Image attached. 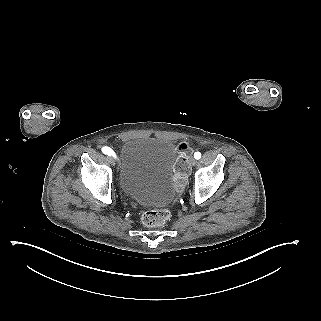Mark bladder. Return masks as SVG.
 Returning <instances> with one entry per match:
<instances>
[{"label": "bladder", "instance_id": "31cf9c89", "mask_svg": "<svg viewBox=\"0 0 321 321\" xmlns=\"http://www.w3.org/2000/svg\"><path fill=\"white\" fill-rule=\"evenodd\" d=\"M178 151L168 140L136 137L126 140L119 153L121 190L142 205H163L177 191L175 166Z\"/></svg>", "mask_w": 321, "mask_h": 321}]
</instances>
